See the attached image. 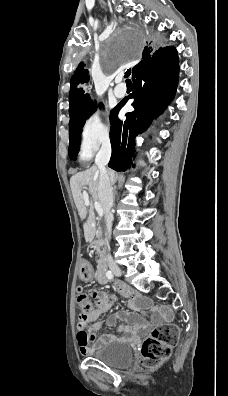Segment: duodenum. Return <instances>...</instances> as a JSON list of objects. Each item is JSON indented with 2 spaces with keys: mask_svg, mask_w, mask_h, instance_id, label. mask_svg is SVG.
Segmentation results:
<instances>
[{
  "mask_svg": "<svg viewBox=\"0 0 228 396\" xmlns=\"http://www.w3.org/2000/svg\"><path fill=\"white\" fill-rule=\"evenodd\" d=\"M104 265H105V252L104 250L99 251L98 255V275L102 276L104 273Z\"/></svg>",
  "mask_w": 228,
  "mask_h": 396,
  "instance_id": "duodenum-1",
  "label": "duodenum"
}]
</instances>
